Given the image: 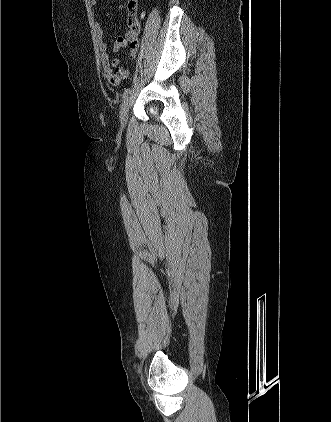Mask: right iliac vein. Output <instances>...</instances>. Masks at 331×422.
Segmentation results:
<instances>
[{
  "instance_id": "63e3f726",
  "label": "right iliac vein",
  "mask_w": 331,
  "mask_h": 422,
  "mask_svg": "<svg viewBox=\"0 0 331 422\" xmlns=\"http://www.w3.org/2000/svg\"><path fill=\"white\" fill-rule=\"evenodd\" d=\"M130 104H131V98L127 96L126 99L123 101L120 108V122H121L122 127H125L127 123Z\"/></svg>"
}]
</instances>
